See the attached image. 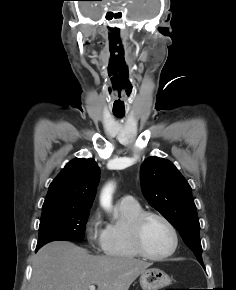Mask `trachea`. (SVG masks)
Here are the masks:
<instances>
[{"instance_id":"trachea-1","label":"trachea","mask_w":236,"mask_h":290,"mask_svg":"<svg viewBox=\"0 0 236 290\" xmlns=\"http://www.w3.org/2000/svg\"><path fill=\"white\" fill-rule=\"evenodd\" d=\"M114 115L118 118H122L124 116V113H114Z\"/></svg>"}]
</instances>
